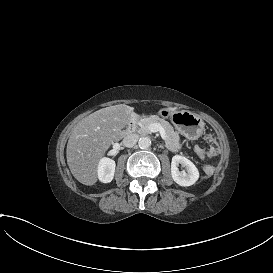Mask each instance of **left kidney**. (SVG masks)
Returning a JSON list of instances; mask_svg holds the SVG:
<instances>
[{"mask_svg":"<svg viewBox=\"0 0 273 273\" xmlns=\"http://www.w3.org/2000/svg\"><path fill=\"white\" fill-rule=\"evenodd\" d=\"M181 164L187 169V173H181L178 165ZM200 173L197 167L184 156L176 155L172 158L171 177L181 187L194 185L199 179Z\"/></svg>","mask_w":273,"mask_h":273,"instance_id":"5707ae66","label":"left kidney"}]
</instances>
